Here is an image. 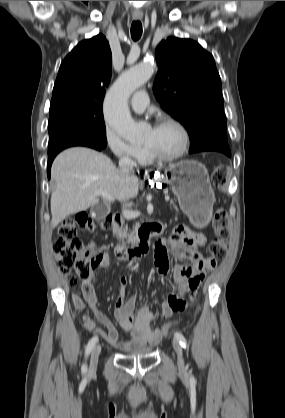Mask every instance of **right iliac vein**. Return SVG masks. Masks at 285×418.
<instances>
[{"mask_svg":"<svg viewBox=\"0 0 285 418\" xmlns=\"http://www.w3.org/2000/svg\"><path fill=\"white\" fill-rule=\"evenodd\" d=\"M100 353H101V345L97 344L94 346L91 352L90 366L88 370L89 374L93 373L96 370Z\"/></svg>","mask_w":285,"mask_h":418,"instance_id":"right-iliac-vein-1","label":"right iliac vein"}]
</instances>
